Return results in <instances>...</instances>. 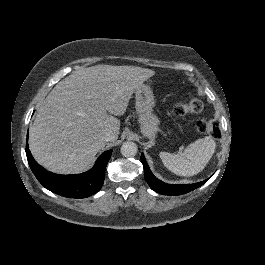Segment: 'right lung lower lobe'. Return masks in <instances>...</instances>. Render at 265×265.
I'll return each mask as SVG.
<instances>
[{
	"label": "right lung lower lobe",
	"mask_w": 265,
	"mask_h": 265,
	"mask_svg": "<svg viewBox=\"0 0 265 265\" xmlns=\"http://www.w3.org/2000/svg\"><path fill=\"white\" fill-rule=\"evenodd\" d=\"M111 154L112 150L104 152L96 161L95 166L83 174L58 175L41 167L32 157L26 143L28 163L38 181L51 192L68 198H86L100 190Z\"/></svg>",
	"instance_id": "obj_1"
}]
</instances>
